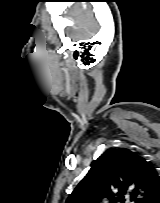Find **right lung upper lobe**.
I'll return each mask as SVG.
<instances>
[{
    "mask_svg": "<svg viewBox=\"0 0 160 203\" xmlns=\"http://www.w3.org/2000/svg\"><path fill=\"white\" fill-rule=\"evenodd\" d=\"M160 195V175L143 157L129 149H108L69 195L66 203H151Z\"/></svg>",
    "mask_w": 160,
    "mask_h": 203,
    "instance_id": "1",
    "label": "right lung upper lobe"
}]
</instances>
